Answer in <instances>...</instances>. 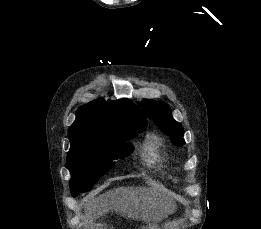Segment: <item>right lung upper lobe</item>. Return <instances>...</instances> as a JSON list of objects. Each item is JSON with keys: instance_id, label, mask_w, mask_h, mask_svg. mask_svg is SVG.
<instances>
[{"instance_id": "obj_1", "label": "right lung upper lobe", "mask_w": 261, "mask_h": 229, "mask_svg": "<svg viewBox=\"0 0 261 229\" xmlns=\"http://www.w3.org/2000/svg\"><path fill=\"white\" fill-rule=\"evenodd\" d=\"M128 124H147L145 116L132 101L97 99L77 110L68 137L71 146L83 143H122L113 130Z\"/></svg>"}]
</instances>
